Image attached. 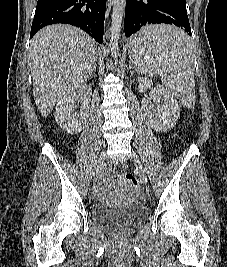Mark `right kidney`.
<instances>
[{
    "mask_svg": "<svg viewBox=\"0 0 227 267\" xmlns=\"http://www.w3.org/2000/svg\"><path fill=\"white\" fill-rule=\"evenodd\" d=\"M91 87L82 85L78 89L64 95L57 103L55 108V120L64 131L69 134H77L87 122L89 116V95ZM83 100L81 109L76 110L74 103L77 100Z\"/></svg>",
    "mask_w": 227,
    "mask_h": 267,
    "instance_id": "1",
    "label": "right kidney"
}]
</instances>
